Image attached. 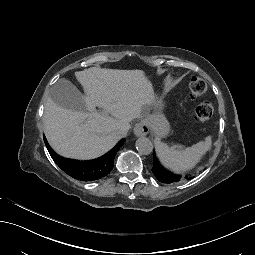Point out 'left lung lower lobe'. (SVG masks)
<instances>
[{"instance_id":"1","label":"left lung lower lobe","mask_w":255,"mask_h":255,"mask_svg":"<svg viewBox=\"0 0 255 255\" xmlns=\"http://www.w3.org/2000/svg\"><path fill=\"white\" fill-rule=\"evenodd\" d=\"M151 169L154 176L163 184H172L178 182L184 174H174L172 170L166 169L158 157L152 159ZM185 175H191V172H185Z\"/></svg>"}]
</instances>
